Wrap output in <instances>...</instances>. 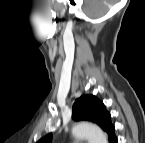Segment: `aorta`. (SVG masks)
<instances>
[{"label":"aorta","mask_w":145,"mask_h":143,"mask_svg":"<svg viewBox=\"0 0 145 143\" xmlns=\"http://www.w3.org/2000/svg\"><path fill=\"white\" fill-rule=\"evenodd\" d=\"M72 134L77 138L87 139L89 143H107L106 134L96 125L81 122L72 128Z\"/></svg>","instance_id":"aorta-1"}]
</instances>
